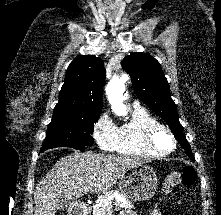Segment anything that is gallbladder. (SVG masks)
Here are the masks:
<instances>
[{
    "label": "gallbladder",
    "instance_id": "bac80fb5",
    "mask_svg": "<svg viewBox=\"0 0 221 215\" xmlns=\"http://www.w3.org/2000/svg\"><path fill=\"white\" fill-rule=\"evenodd\" d=\"M70 200L67 199H61L58 203L57 210H64L69 205Z\"/></svg>",
    "mask_w": 221,
    "mask_h": 215
}]
</instances>
